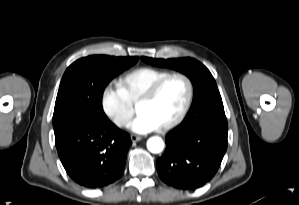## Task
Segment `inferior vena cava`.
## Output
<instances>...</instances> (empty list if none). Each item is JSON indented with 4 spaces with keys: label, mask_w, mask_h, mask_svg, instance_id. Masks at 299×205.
I'll list each match as a JSON object with an SVG mask.
<instances>
[{
    "label": "inferior vena cava",
    "mask_w": 299,
    "mask_h": 205,
    "mask_svg": "<svg viewBox=\"0 0 299 205\" xmlns=\"http://www.w3.org/2000/svg\"><path fill=\"white\" fill-rule=\"evenodd\" d=\"M126 123H127V120H125V119H121V120H119V122H118L119 125H124V124H126Z\"/></svg>",
    "instance_id": "obj_1"
}]
</instances>
